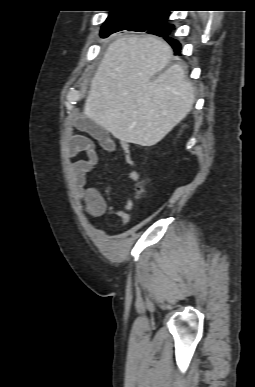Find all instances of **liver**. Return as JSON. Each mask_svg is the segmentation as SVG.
<instances>
[{
    "mask_svg": "<svg viewBox=\"0 0 255 387\" xmlns=\"http://www.w3.org/2000/svg\"><path fill=\"white\" fill-rule=\"evenodd\" d=\"M168 43L153 36H123L112 42L93 77L85 116L122 143L153 146L194 104L183 67ZM163 71V72H162Z\"/></svg>",
    "mask_w": 255,
    "mask_h": 387,
    "instance_id": "1",
    "label": "liver"
}]
</instances>
